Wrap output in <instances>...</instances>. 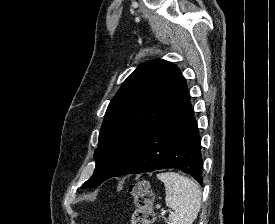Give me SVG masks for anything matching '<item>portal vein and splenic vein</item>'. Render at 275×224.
I'll list each match as a JSON object with an SVG mask.
<instances>
[{
  "mask_svg": "<svg viewBox=\"0 0 275 224\" xmlns=\"http://www.w3.org/2000/svg\"><path fill=\"white\" fill-rule=\"evenodd\" d=\"M165 213H166V211L163 210V211L161 212V215H164Z\"/></svg>",
  "mask_w": 275,
  "mask_h": 224,
  "instance_id": "18ae733b",
  "label": "portal vein and splenic vein"
}]
</instances>
